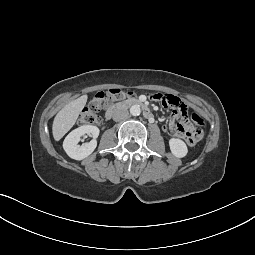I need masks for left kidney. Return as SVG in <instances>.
Listing matches in <instances>:
<instances>
[{
	"label": "left kidney",
	"instance_id": "1",
	"mask_svg": "<svg viewBox=\"0 0 255 255\" xmlns=\"http://www.w3.org/2000/svg\"><path fill=\"white\" fill-rule=\"evenodd\" d=\"M169 146L172 154L177 158H183L188 153V149L185 142L180 139L171 138L169 140Z\"/></svg>",
	"mask_w": 255,
	"mask_h": 255
}]
</instances>
